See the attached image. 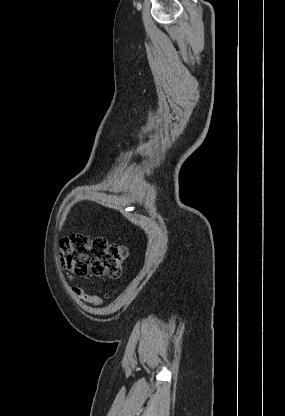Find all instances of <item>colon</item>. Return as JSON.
<instances>
[{"mask_svg": "<svg viewBox=\"0 0 285 416\" xmlns=\"http://www.w3.org/2000/svg\"><path fill=\"white\" fill-rule=\"evenodd\" d=\"M59 254L62 266L77 276L93 273L118 278L128 251L125 245L109 243L105 237L73 234L60 242Z\"/></svg>", "mask_w": 285, "mask_h": 416, "instance_id": "5ec220e1", "label": "colon"}]
</instances>
